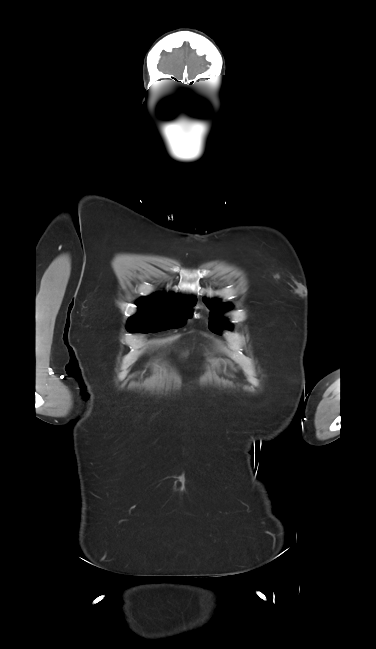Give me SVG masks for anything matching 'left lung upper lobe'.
Returning <instances> with one entry per match:
<instances>
[{"instance_id": "obj_1", "label": "left lung upper lobe", "mask_w": 376, "mask_h": 649, "mask_svg": "<svg viewBox=\"0 0 376 649\" xmlns=\"http://www.w3.org/2000/svg\"><path fill=\"white\" fill-rule=\"evenodd\" d=\"M205 304L209 309L215 308L213 310V313H210L211 321L209 323V328L211 331L214 333L220 334V330L217 328L218 326L224 327L226 329H232V325H230L227 320L221 316V312L229 310L232 308V305L230 303H224V304H219V300L212 299L211 301H207L206 298H203ZM213 323H216L217 326L213 329Z\"/></svg>"}]
</instances>
